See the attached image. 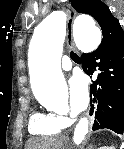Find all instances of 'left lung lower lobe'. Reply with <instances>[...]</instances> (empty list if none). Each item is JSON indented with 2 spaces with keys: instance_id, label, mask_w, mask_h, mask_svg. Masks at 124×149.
<instances>
[{
  "instance_id": "1",
  "label": "left lung lower lobe",
  "mask_w": 124,
  "mask_h": 149,
  "mask_svg": "<svg viewBox=\"0 0 124 149\" xmlns=\"http://www.w3.org/2000/svg\"><path fill=\"white\" fill-rule=\"evenodd\" d=\"M82 60L86 74L100 71L90 86L93 95L90 114L95 116L93 130L107 128L123 134L124 40L84 54Z\"/></svg>"
}]
</instances>
